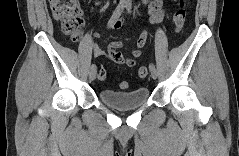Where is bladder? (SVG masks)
Segmentation results:
<instances>
[{
	"label": "bladder",
	"instance_id": "31cf9c89",
	"mask_svg": "<svg viewBox=\"0 0 239 156\" xmlns=\"http://www.w3.org/2000/svg\"><path fill=\"white\" fill-rule=\"evenodd\" d=\"M149 97V89L146 87L130 92L101 89L98 93V98L103 104L118 111L138 109L148 101Z\"/></svg>",
	"mask_w": 239,
	"mask_h": 156
}]
</instances>
